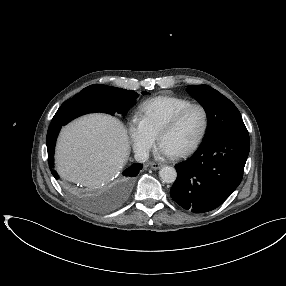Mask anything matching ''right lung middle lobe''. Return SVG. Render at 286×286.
<instances>
[{
	"label": "right lung middle lobe",
	"mask_w": 286,
	"mask_h": 286,
	"mask_svg": "<svg viewBox=\"0 0 286 286\" xmlns=\"http://www.w3.org/2000/svg\"><path fill=\"white\" fill-rule=\"evenodd\" d=\"M142 94L145 95L148 92H142ZM137 96L138 94L131 90L102 84L90 85L73 98L65 101L52 121L65 125L76 117L93 112H103L112 116L115 113L126 115L128 109L135 104ZM122 186L124 194H126L131 186V181L127 184L123 180Z\"/></svg>",
	"instance_id": "1"
}]
</instances>
